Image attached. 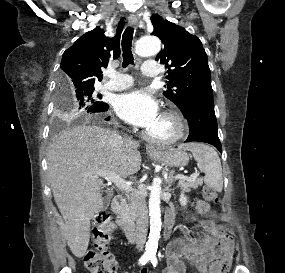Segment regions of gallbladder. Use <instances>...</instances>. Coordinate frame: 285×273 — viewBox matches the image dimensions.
I'll return each mask as SVG.
<instances>
[{"label":"gallbladder","mask_w":285,"mask_h":273,"mask_svg":"<svg viewBox=\"0 0 285 273\" xmlns=\"http://www.w3.org/2000/svg\"><path fill=\"white\" fill-rule=\"evenodd\" d=\"M111 198H112V193L109 192V193L107 194V196H105V197L103 198V208H107V207H108Z\"/></svg>","instance_id":"obj_1"}]
</instances>
